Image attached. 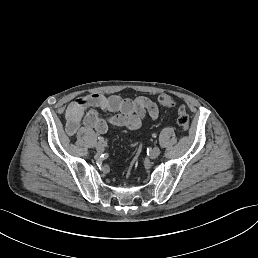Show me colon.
I'll use <instances>...</instances> for the list:
<instances>
[{
    "label": "colon",
    "instance_id": "5ec220e1",
    "mask_svg": "<svg viewBox=\"0 0 258 258\" xmlns=\"http://www.w3.org/2000/svg\"><path fill=\"white\" fill-rule=\"evenodd\" d=\"M158 100L164 107L172 108L175 106L174 99L168 94L160 95ZM177 123L183 130H187L189 128L190 119L184 105H180L177 109Z\"/></svg>",
    "mask_w": 258,
    "mask_h": 258
}]
</instances>
